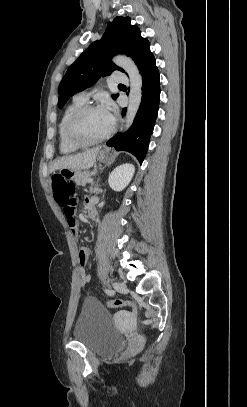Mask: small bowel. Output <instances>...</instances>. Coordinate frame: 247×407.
Returning <instances> with one entry per match:
<instances>
[{
  "instance_id": "obj_1",
  "label": "small bowel",
  "mask_w": 247,
  "mask_h": 407,
  "mask_svg": "<svg viewBox=\"0 0 247 407\" xmlns=\"http://www.w3.org/2000/svg\"><path fill=\"white\" fill-rule=\"evenodd\" d=\"M63 211V214L66 218L67 224L74 236L78 234V220L76 212V201L72 197L64 205H60ZM89 256V248L82 247L78 252V261L80 264V276L82 284L85 285L90 281V274L86 268V262Z\"/></svg>"
}]
</instances>
